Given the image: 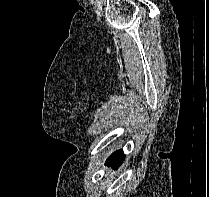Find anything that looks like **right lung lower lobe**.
I'll return each mask as SVG.
<instances>
[{"mask_svg":"<svg viewBox=\"0 0 209 197\" xmlns=\"http://www.w3.org/2000/svg\"><path fill=\"white\" fill-rule=\"evenodd\" d=\"M124 153L122 150H118L116 152H114L106 161V163L110 166H112L113 168H117L119 167V165L123 162L124 160Z\"/></svg>","mask_w":209,"mask_h":197,"instance_id":"obj_1","label":"right lung lower lobe"}]
</instances>
